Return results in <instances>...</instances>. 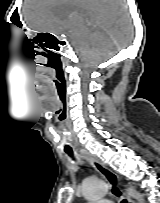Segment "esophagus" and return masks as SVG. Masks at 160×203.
<instances>
[{
	"mask_svg": "<svg viewBox=\"0 0 160 203\" xmlns=\"http://www.w3.org/2000/svg\"><path fill=\"white\" fill-rule=\"evenodd\" d=\"M84 158L91 163V165L107 180L110 186V191L115 196H120V198L125 199L127 203H133V201L124 194L120 178L109 170L104 164H102L98 159H96L91 154L87 153L84 150H81Z\"/></svg>",
	"mask_w": 160,
	"mask_h": 203,
	"instance_id": "esophagus-1",
	"label": "esophagus"
}]
</instances>
